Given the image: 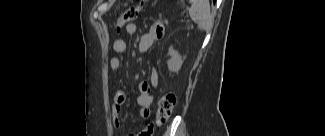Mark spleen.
Masks as SVG:
<instances>
[{"mask_svg":"<svg viewBox=\"0 0 325 136\" xmlns=\"http://www.w3.org/2000/svg\"><path fill=\"white\" fill-rule=\"evenodd\" d=\"M190 16L199 28L205 31H209L212 28L213 19L210 14V4L208 0H193Z\"/></svg>","mask_w":325,"mask_h":136,"instance_id":"spleen-1","label":"spleen"}]
</instances>
